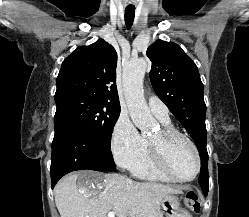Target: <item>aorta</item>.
Returning <instances> with one entry per match:
<instances>
[{
  "mask_svg": "<svg viewBox=\"0 0 249 217\" xmlns=\"http://www.w3.org/2000/svg\"><path fill=\"white\" fill-rule=\"evenodd\" d=\"M146 69L147 63L145 60L138 59L131 61L123 72V84L128 110L133 123L142 133H148L156 125L143 93V79Z\"/></svg>",
  "mask_w": 249,
  "mask_h": 217,
  "instance_id": "762f6f07",
  "label": "aorta"
}]
</instances>
